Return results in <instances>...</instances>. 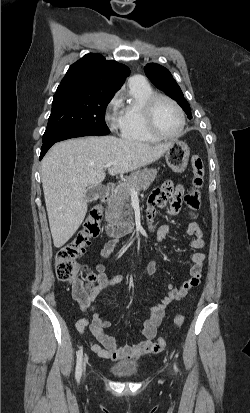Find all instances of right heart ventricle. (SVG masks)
<instances>
[{
  "label": "right heart ventricle",
  "instance_id": "e07e8e85",
  "mask_svg": "<svg viewBox=\"0 0 250 413\" xmlns=\"http://www.w3.org/2000/svg\"><path fill=\"white\" fill-rule=\"evenodd\" d=\"M153 93H155L153 88L144 80L129 82V100L121 109L120 134L122 138L144 143L157 141L146 129L143 111L146 100Z\"/></svg>",
  "mask_w": 250,
  "mask_h": 413
}]
</instances>
